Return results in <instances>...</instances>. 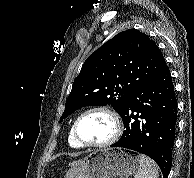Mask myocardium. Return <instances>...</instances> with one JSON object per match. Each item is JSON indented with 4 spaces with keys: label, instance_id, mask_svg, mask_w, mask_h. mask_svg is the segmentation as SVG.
<instances>
[{
    "label": "myocardium",
    "instance_id": "obj_1",
    "mask_svg": "<svg viewBox=\"0 0 194 178\" xmlns=\"http://www.w3.org/2000/svg\"><path fill=\"white\" fill-rule=\"evenodd\" d=\"M93 112H101L106 114L113 123V132L111 136L100 143H88L83 141L79 134H78V124L80 120L87 114L93 113ZM122 133V122L119 117V115L110 107L107 106H92L86 110H84L82 113L78 115V117L75 119L73 126H72V135L75 141L82 147H89V148H105L112 144H114L120 137Z\"/></svg>",
    "mask_w": 194,
    "mask_h": 178
}]
</instances>
